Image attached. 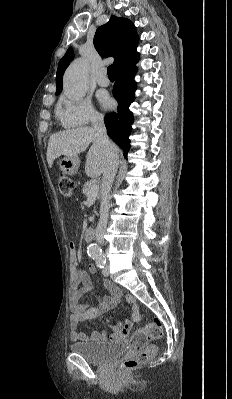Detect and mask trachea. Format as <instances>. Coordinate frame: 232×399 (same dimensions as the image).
<instances>
[{
    "instance_id": "1",
    "label": "trachea",
    "mask_w": 232,
    "mask_h": 399,
    "mask_svg": "<svg viewBox=\"0 0 232 399\" xmlns=\"http://www.w3.org/2000/svg\"><path fill=\"white\" fill-rule=\"evenodd\" d=\"M107 72H108V77H115L113 65H109V67L107 68Z\"/></svg>"
}]
</instances>
